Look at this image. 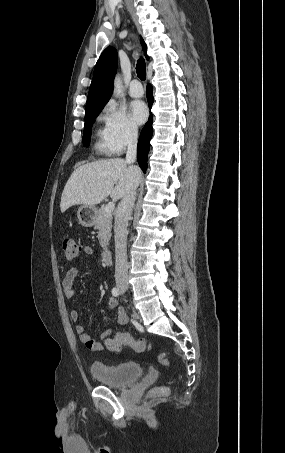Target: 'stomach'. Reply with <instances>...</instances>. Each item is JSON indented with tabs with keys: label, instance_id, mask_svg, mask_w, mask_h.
<instances>
[{
	"label": "stomach",
	"instance_id": "1",
	"mask_svg": "<svg viewBox=\"0 0 285 453\" xmlns=\"http://www.w3.org/2000/svg\"><path fill=\"white\" fill-rule=\"evenodd\" d=\"M78 222L84 227H91L95 223L96 208L94 206L82 205L77 211Z\"/></svg>",
	"mask_w": 285,
	"mask_h": 453
}]
</instances>
